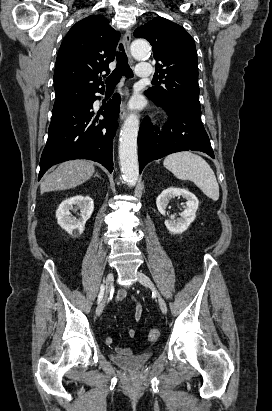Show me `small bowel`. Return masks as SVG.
<instances>
[{"instance_id": "c3829d8e", "label": "small bowel", "mask_w": 272, "mask_h": 411, "mask_svg": "<svg viewBox=\"0 0 272 411\" xmlns=\"http://www.w3.org/2000/svg\"><path fill=\"white\" fill-rule=\"evenodd\" d=\"M125 298H130L134 303H135V310H134V320L136 322H139L142 316V306L141 304L132 296L129 294V292L126 289H120L117 294H116V301H122ZM127 335L130 338H133L136 335V331L133 328H128L127 329ZM107 344H110L112 342L111 337H106L105 339ZM116 352L121 354V355H129L131 353V350L129 348H123V347H118L116 348Z\"/></svg>"}]
</instances>
